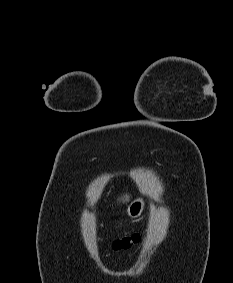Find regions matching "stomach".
Segmentation results:
<instances>
[{
  "label": "stomach",
  "mask_w": 233,
  "mask_h": 283,
  "mask_svg": "<svg viewBox=\"0 0 233 283\" xmlns=\"http://www.w3.org/2000/svg\"><path fill=\"white\" fill-rule=\"evenodd\" d=\"M145 203L143 201V199L139 198L135 201H133L129 206H128V215L131 218H136L138 216H140L143 212Z\"/></svg>",
  "instance_id": "0dacf381"
}]
</instances>
